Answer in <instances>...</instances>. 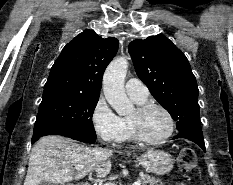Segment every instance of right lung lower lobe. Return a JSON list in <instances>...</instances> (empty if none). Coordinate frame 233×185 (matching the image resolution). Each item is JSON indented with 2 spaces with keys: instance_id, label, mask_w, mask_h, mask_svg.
Masks as SVG:
<instances>
[{
  "instance_id": "right-lung-lower-lobe-1",
  "label": "right lung lower lobe",
  "mask_w": 233,
  "mask_h": 185,
  "mask_svg": "<svg viewBox=\"0 0 233 185\" xmlns=\"http://www.w3.org/2000/svg\"><path fill=\"white\" fill-rule=\"evenodd\" d=\"M72 139L85 142V143H93L95 142L96 138L93 137H87V136H73Z\"/></svg>"
}]
</instances>
